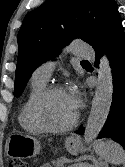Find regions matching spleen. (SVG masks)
<instances>
[{"label": "spleen", "mask_w": 125, "mask_h": 167, "mask_svg": "<svg viewBox=\"0 0 125 167\" xmlns=\"http://www.w3.org/2000/svg\"><path fill=\"white\" fill-rule=\"evenodd\" d=\"M94 150L100 159L108 163L119 165L125 162V152L119 144L112 140L97 141Z\"/></svg>", "instance_id": "1"}]
</instances>
